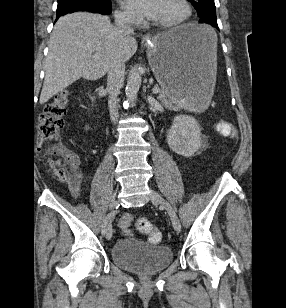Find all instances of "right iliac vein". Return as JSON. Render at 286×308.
Listing matches in <instances>:
<instances>
[{"label":"right iliac vein","mask_w":286,"mask_h":308,"mask_svg":"<svg viewBox=\"0 0 286 308\" xmlns=\"http://www.w3.org/2000/svg\"><path fill=\"white\" fill-rule=\"evenodd\" d=\"M117 205V200H116V194H113V196L111 197V200H110V209H114ZM106 238L108 240L111 239L112 237V226L110 223L107 224L106 226Z\"/></svg>","instance_id":"right-iliac-vein-1"}]
</instances>
